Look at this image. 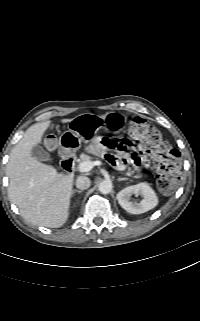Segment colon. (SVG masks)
<instances>
[{"label": "colon", "instance_id": "colon-1", "mask_svg": "<svg viewBox=\"0 0 200 321\" xmlns=\"http://www.w3.org/2000/svg\"><path fill=\"white\" fill-rule=\"evenodd\" d=\"M129 136L135 139L146 156L153 159L159 189L166 194L172 193L180 184V154L165 141L160 131L141 118L133 119ZM53 146V142H48Z\"/></svg>", "mask_w": 200, "mask_h": 321}]
</instances>
